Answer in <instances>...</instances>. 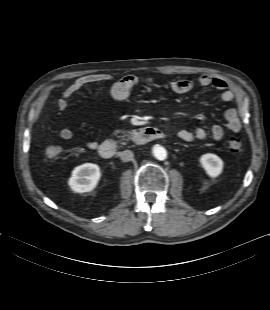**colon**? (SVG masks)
I'll return each mask as SVG.
<instances>
[{
    "instance_id": "5ec220e1",
    "label": "colon",
    "mask_w": 270,
    "mask_h": 310,
    "mask_svg": "<svg viewBox=\"0 0 270 310\" xmlns=\"http://www.w3.org/2000/svg\"><path fill=\"white\" fill-rule=\"evenodd\" d=\"M229 148L232 152H235V153L241 152L243 148L241 139L236 138V137L231 138L229 141ZM45 154H46L47 160L51 162H56L62 158L63 149L62 147L58 145H52L46 149Z\"/></svg>"
}]
</instances>
